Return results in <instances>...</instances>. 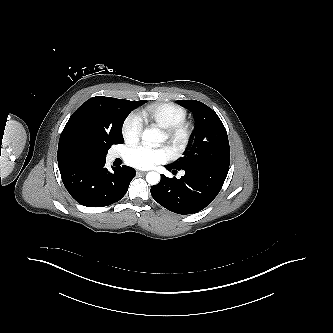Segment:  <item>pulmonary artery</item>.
Masks as SVG:
<instances>
[{
	"label": "pulmonary artery",
	"instance_id": "1",
	"mask_svg": "<svg viewBox=\"0 0 333 333\" xmlns=\"http://www.w3.org/2000/svg\"><path fill=\"white\" fill-rule=\"evenodd\" d=\"M118 157V154L116 153V152H112V153H110V155H109V159L110 160H114L115 158H117Z\"/></svg>",
	"mask_w": 333,
	"mask_h": 333
}]
</instances>
